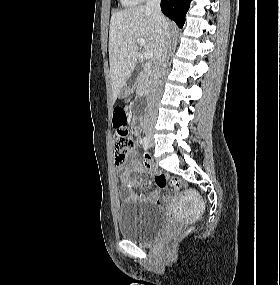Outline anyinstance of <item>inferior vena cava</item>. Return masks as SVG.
<instances>
[{
  "label": "inferior vena cava",
  "instance_id": "inferior-vena-cava-1",
  "mask_svg": "<svg viewBox=\"0 0 280 285\" xmlns=\"http://www.w3.org/2000/svg\"><path fill=\"white\" fill-rule=\"evenodd\" d=\"M147 8L152 11L156 28V47L154 51V63L150 93L147 98V111L145 113V125L153 124L156 120L157 105L163 87V75L170 46V33L167 21L161 13L160 0H147Z\"/></svg>",
  "mask_w": 280,
  "mask_h": 285
}]
</instances>
